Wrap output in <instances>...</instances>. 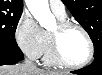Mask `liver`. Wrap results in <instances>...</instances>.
Here are the masks:
<instances>
[{"instance_id": "6515ba94", "label": "liver", "mask_w": 102, "mask_h": 75, "mask_svg": "<svg viewBox=\"0 0 102 75\" xmlns=\"http://www.w3.org/2000/svg\"><path fill=\"white\" fill-rule=\"evenodd\" d=\"M0 75H61L58 72L32 69L24 64L5 65L0 68Z\"/></svg>"}]
</instances>
